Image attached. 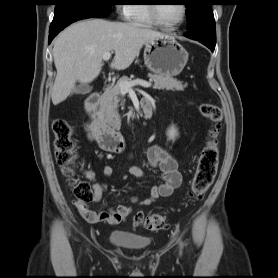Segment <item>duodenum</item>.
I'll return each instance as SVG.
<instances>
[{"instance_id":"1","label":"duodenum","mask_w":278,"mask_h":278,"mask_svg":"<svg viewBox=\"0 0 278 278\" xmlns=\"http://www.w3.org/2000/svg\"><path fill=\"white\" fill-rule=\"evenodd\" d=\"M100 94L95 92L85 100V111L91 120L92 132L99 145L108 151L120 152L125 147V139L121 132L105 124L97 113ZM142 114L145 118L152 115V107L148 100L141 102Z\"/></svg>"}]
</instances>
